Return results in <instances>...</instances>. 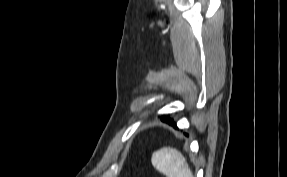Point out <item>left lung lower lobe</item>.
I'll return each mask as SVG.
<instances>
[{
  "label": "left lung lower lobe",
  "instance_id": "obj_1",
  "mask_svg": "<svg viewBox=\"0 0 287 177\" xmlns=\"http://www.w3.org/2000/svg\"><path fill=\"white\" fill-rule=\"evenodd\" d=\"M161 119H162L163 121L169 123L170 125H173V126L176 128V124L173 122L172 119H170V118H165V117H162Z\"/></svg>",
  "mask_w": 287,
  "mask_h": 177
}]
</instances>
